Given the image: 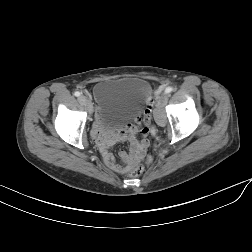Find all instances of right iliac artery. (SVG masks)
<instances>
[{
  "mask_svg": "<svg viewBox=\"0 0 252 252\" xmlns=\"http://www.w3.org/2000/svg\"><path fill=\"white\" fill-rule=\"evenodd\" d=\"M74 95H75L76 97H79V96L81 95V93L78 92V91H76V92L74 93Z\"/></svg>",
  "mask_w": 252,
  "mask_h": 252,
  "instance_id": "right-iliac-artery-1",
  "label": "right iliac artery"
}]
</instances>
